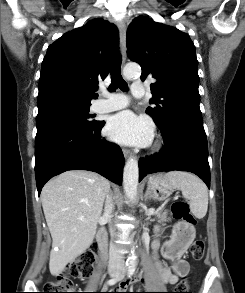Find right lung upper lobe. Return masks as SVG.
<instances>
[{
    "mask_svg": "<svg viewBox=\"0 0 245 293\" xmlns=\"http://www.w3.org/2000/svg\"><path fill=\"white\" fill-rule=\"evenodd\" d=\"M117 27L99 18L65 33L43 59L38 108L57 103L91 105L99 79H105L117 52Z\"/></svg>",
    "mask_w": 245,
    "mask_h": 293,
    "instance_id": "1",
    "label": "right lung upper lobe"
}]
</instances>
